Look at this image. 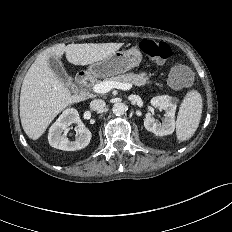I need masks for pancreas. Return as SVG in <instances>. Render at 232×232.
<instances>
[{"mask_svg":"<svg viewBox=\"0 0 232 232\" xmlns=\"http://www.w3.org/2000/svg\"><path fill=\"white\" fill-rule=\"evenodd\" d=\"M104 81H117L121 83H131L136 86H143L146 84H151L149 76L146 73L134 74L127 73L124 75L111 76L110 78H106ZM157 86H162L161 83H156Z\"/></svg>","mask_w":232,"mask_h":232,"instance_id":"pancreas-1","label":"pancreas"}]
</instances>
